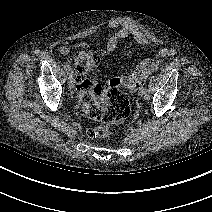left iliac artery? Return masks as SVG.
Masks as SVG:
<instances>
[{
    "mask_svg": "<svg viewBox=\"0 0 212 212\" xmlns=\"http://www.w3.org/2000/svg\"><path fill=\"white\" fill-rule=\"evenodd\" d=\"M143 88H144V94H145L144 97L146 100H149L150 99V90L148 88V85L145 84Z\"/></svg>",
    "mask_w": 212,
    "mask_h": 212,
    "instance_id": "left-iliac-artery-1",
    "label": "left iliac artery"
}]
</instances>
